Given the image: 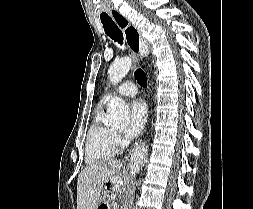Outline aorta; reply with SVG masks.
Returning a JSON list of instances; mask_svg holds the SVG:
<instances>
[{
  "mask_svg": "<svg viewBox=\"0 0 253 209\" xmlns=\"http://www.w3.org/2000/svg\"><path fill=\"white\" fill-rule=\"evenodd\" d=\"M132 66L130 57H123L110 65L108 69V78L114 85L120 83L127 75ZM106 124L115 127H125L129 122V108L126 103L116 97L108 105V115Z\"/></svg>",
  "mask_w": 253,
  "mask_h": 209,
  "instance_id": "aorta-1",
  "label": "aorta"
}]
</instances>
